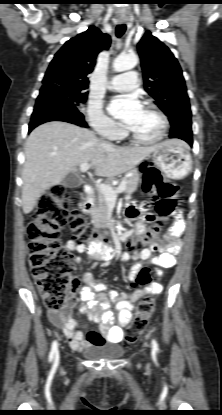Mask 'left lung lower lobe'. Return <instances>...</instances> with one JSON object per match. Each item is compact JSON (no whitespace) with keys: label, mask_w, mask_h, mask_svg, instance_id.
Here are the masks:
<instances>
[{"label":"left lung lower lobe","mask_w":222,"mask_h":415,"mask_svg":"<svg viewBox=\"0 0 222 415\" xmlns=\"http://www.w3.org/2000/svg\"><path fill=\"white\" fill-rule=\"evenodd\" d=\"M170 138H178L186 141L190 146L193 144L191 121H182L178 126L170 130Z\"/></svg>","instance_id":"obj_1"}]
</instances>
